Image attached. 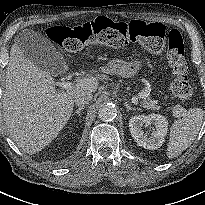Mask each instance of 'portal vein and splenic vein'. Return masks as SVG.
Segmentation results:
<instances>
[{
    "label": "portal vein and splenic vein",
    "instance_id": "18ae733b",
    "mask_svg": "<svg viewBox=\"0 0 205 205\" xmlns=\"http://www.w3.org/2000/svg\"><path fill=\"white\" fill-rule=\"evenodd\" d=\"M56 85L59 87H62L64 89H69L72 87L73 84L71 82L66 81V80H62L61 82H57ZM132 103L135 105H138V97L137 96L132 97Z\"/></svg>",
    "mask_w": 205,
    "mask_h": 205
}]
</instances>
